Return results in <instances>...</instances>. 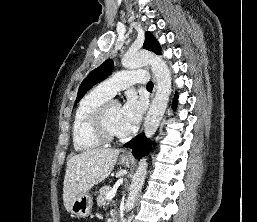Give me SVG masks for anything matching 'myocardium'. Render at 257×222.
<instances>
[{"mask_svg": "<svg viewBox=\"0 0 257 222\" xmlns=\"http://www.w3.org/2000/svg\"><path fill=\"white\" fill-rule=\"evenodd\" d=\"M119 105L114 99H109L102 103L94 112L91 119V127L95 137L102 143H109L123 138L122 135L114 134L109 131L107 117L112 107Z\"/></svg>", "mask_w": 257, "mask_h": 222, "instance_id": "myocardium-1", "label": "myocardium"}]
</instances>
